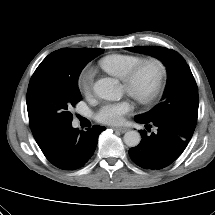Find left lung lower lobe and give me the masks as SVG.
Instances as JSON below:
<instances>
[{"mask_svg":"<svg viewBox=\"0 0 215 215\" xmlns=\"http://www.w3.org/2000/svg\"><path fill=\"white\" fill-rule=\"evenodd\" d=\"M135 121L145 124L147 130L156 127L150 135L140 130L141 142L129 149L131 159L144 169H162L170 165L182 154L193 135V131L168 119L151 120L135 116Z\"/></svg>","mask_w":215,"mask_h":215,"instance_id":"left-lung-lower-lobe-1","label":"left lung lower lobe"}]
</instances>
